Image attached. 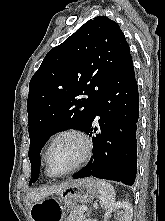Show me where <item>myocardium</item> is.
I'll list each match as a JSON object with an SVG mask.
<instances>
[{"mask_svg": "<svg viewBox=\"0 0 165 221\" xmlns=\"http://www.w3.org/2000/svg\"><path fill=\"white\" fill-rule=\"evenodd\" d=\"M67 135L76 136L81 140V142L83 144V153H82V156L80 157V159L77 161V163L73 167H71L68 170L62 171V172H56L52 169V167L50 165L49 152H50L52 145L58 139H60L61 137L67 136ZM92 149H93L92 141L83 130H81L79 128H66L64 130H61L55 136L52 137V139L49 141V143L47 144V147L45 149L44 160H45L46 170L48 171V173L50 175L55 176V177L69 175V174L77 171L78 169H80L84 165V163L90 158V156L92 154Z\"/></svg>", "mask_w": 165, "mask_h": 221, "instance_id": "f54148a6", "label": "myocardium"}]
</instances>
